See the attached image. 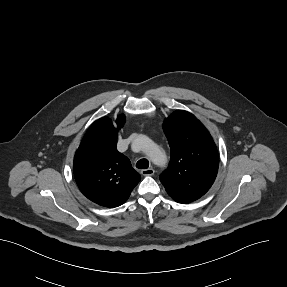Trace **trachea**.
I'll list each match as a JSON object with an SVG mask.
<instances>
[{
    "label": "trachea",
    "instance_id": "1",
    "mask_svg": "<svg viewBox=\"0 0 287 287\" xmlns=\"http://www.w3.org/2000/svg\"><path fill=\"white\" fill-rule=\"evenodd\" d=\"M136 167L139 169H147L149 167V161L147 159H140L136 163Z\"/></svg>",
    "mask_w": 287,
    "mask_h": 287
}]
</instances>
